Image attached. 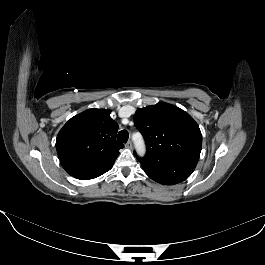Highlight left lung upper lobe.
Masks as SVG:
<instances>
[{"label": "left lung upper lobe", "instance_id": "5c2ea615", "mask_svg": "<svg viewBox=\"0 0 265 265\" xmlns=\"http://www.w3.org/2000/svg\"><path fill=\"white\" fill-rule=\"evenodd\" d=\"M133 120L147 145L146 155L139 158L141 165L199 158L201 131L195 120L182 109L160 102L138 109Z\"/></svg>", "mask_w": 265, "mask_h": 265}]
</instances>
